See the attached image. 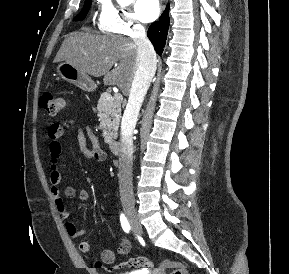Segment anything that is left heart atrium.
Returning a JSON list of instances; mask_svg holds the SVG:
<instances>
[{
    "instance_id": "1",
    "label": "left heart atrium",
    "mask_w": 289,
    "mask_h": 274,
    "mask_svg": "<svg viewBox=\"0 0 289 274\" xmlns=\"http://www.w3.org/2000/svg\"><path fill=\"white\" fill-rule=\"evenodd\" d=\"M135 10L141 21L151 22L155 20L160 13L159 0H137Z\"/></svg>"
}]
</instances>
